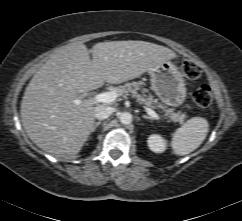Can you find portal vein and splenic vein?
I'll list each match as a JSON object with an SVG mask.
<instances>
[{
	"instance_id": "obj_1",
	"label": "portal vein and splenic vein",
	"mask_w": 242,
	"mask_h": 221,
	"mask_svg": "<svg viewBox=\"0 0 242 221\" xmlns=\"http://www.w3.org/2000/svg\"><path fill=\"white\" fill-rule=\"evenodd\" d=\"M118 94L115 91L103 92L94 96L93 101L97 103H111L116 100ZM148 115L156 120H160L159 115L151 108L145 107Z\"/></svg>"
}]
</instances>
